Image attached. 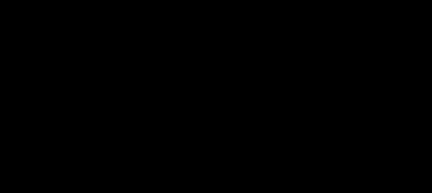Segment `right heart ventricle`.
Wrapping results in <instances>:
<instances>
[{
    "label": "right heart ventricle",
    "instance_id": "1",
    "mask_svg": "<svg viewBox=\"0 0 432 193\" xmlns=\"http://www.w3.org/2000/svg\"><path fill=\"white\" fill-rule=\"evenodd\" d=\"M250 54L251 52L244 48H221L214 53L212 64L219 73H224L238 61L248 57Z\"/></svg>",
    "mask_w": 432,
    "mask_h": 193
}]
</instances>
